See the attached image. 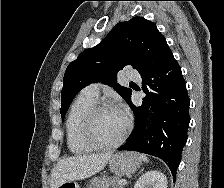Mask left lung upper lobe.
Here are the masks:
<instances>
[{
    "label": "left lung upper lobe",
    "instance_id": "left-lung-upper-lobe-1",
    "mask_svg": "<svg viewBox=\"0 0 224 188\" xmlns=\"http://www.w3.org/2000/svg\"><path fill=\"white\" fill-rule=\"evenodd\" d=\"M172 55L154 22L133 17L116 24L97 46L83 51L67 67L61 92L62 119L75 95L94 82L113 86L129 103L132 90L116 82L117 72L125 66H132L143 76Z\"/></svg>",
    "mask_w": 224,
    "mask_h": 188
}]
</instances>
